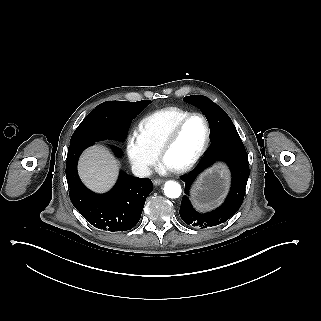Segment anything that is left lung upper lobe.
Listing matches in <instances>:
<instances>
[{
  "mask_svg": "<svg viewBox=\"0 0 321 321\" xmlns=\"http://www.w3.org/2000/svg\"><path fill=\"white\" fill-rule=\"evenodd\" d=\"M184 100L197 106L206 116L211 127V136L230 130H236L227 113L207 97L201 95H192L185 97Z\"/></svg>",
  "mask_w": 321,
  "mask_h": 321,
  "instance_id": "5c2ea615",
  "label": "left lung upper lobe"
}]
</instances>
